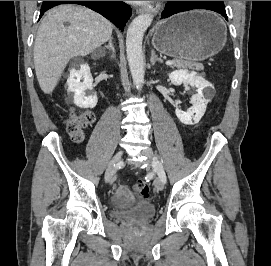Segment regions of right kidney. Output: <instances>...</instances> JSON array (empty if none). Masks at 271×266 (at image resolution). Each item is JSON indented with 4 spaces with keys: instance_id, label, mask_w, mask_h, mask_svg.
<instances>
[{
    "instance_id": "1",
    "label": "right kidney",
    "mask_w": 271,
    "mask_h": 266,
    "mask_svg": "<svg viewBox=\"0 0 271 266\" xmlns=\"http://www.w3.org/2000/svg\"><path fill=\"white\" fill-rule=\"evenodd\" d=\"M69 72L67 91L73 94L74 104L83 108H94L98 97L92 92L93 78L88 65H80L78 68H72Z\"/></svg>"
}]
</instances>
